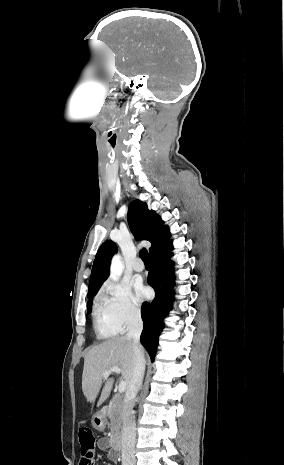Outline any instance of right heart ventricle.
Returning <instances> with one entry per match:
<instances>
[{
    "mask_svg": "<svg viewBox=\"0 0 284 465\" xmlns=\"http://www.w3.org/2000/svg\"><path fill=\"white\" fill-rule=\"evenodd\" d=\"M92 322L97 338H112L117 336L120 332L102 305L98 304L95 306Z\"/></svg>",
    "mask_w": 284,
    "mask_h": 465,
    "instance_id": "obj_1",
    "label": "right heart ventricle"
}]
</instances>
